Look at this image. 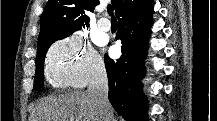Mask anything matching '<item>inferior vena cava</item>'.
<instances>
[{"label": "inferior vena cava", "mask_w": 217, "mask_h": 121, "mask_svg": "<svg viewBox=\"0 0 217 121\" xmlns=\"http://www.w3.org/2000/svg\"><path fill=\"white\" fill-rule=\"evenodd\" d=\"M87 93L98 107L102 121H114L108 100V78L104 65H99L94 70Z\"/></svg>", "instance_id": "inferior-vena-cava-1"}]
</instances>
